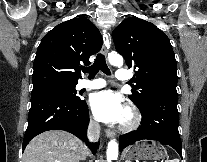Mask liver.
Wrapping results in <instances>:
<instances>
[{"mask_svg": "<svg viewBox=\"0 0 207 162\" xmlns=\"http://www.w3.org/2000/svg\"><path fill=\"white\" fill-rule=\"evenodd\" d=\"M88 154L80 139L60 130H50L34 137L23 154V162H79Z\"/></svg>", "mask_w": 207, "mask_h": 162, "instance_id": "obj_1", "label": "liver"}]
</instances>
